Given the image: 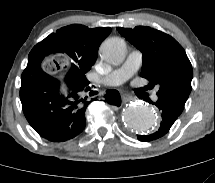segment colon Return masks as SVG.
Segmentation results:
<instances>
[{"instance_id":"1","label":"colon","mask_w":215,"mask_h":183,"mask_svg":"<svg viewBox=\"0 0 215 183\" xmlns=\"http://www.w3.org/2000/svg\"><path fill=\"white\" fill-rule=\"evenodd\" d=\"M52 64H53V65H54V64H55V65H57V62H56V61H54Z\"/></svg>"}]
</instances>
